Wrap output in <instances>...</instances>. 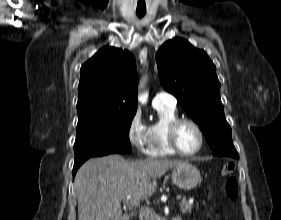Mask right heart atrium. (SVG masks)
<instances>
[{
	"mask_svg": "<svg viewBox=\"0 0 281 220\" xmlns=\"http://www.w3.org/2000/svg\"><path fill=\"white\" fill-rule=\"evenodd\" d=\"M127 136L130 144L139 151H144L147 140V126L142 120L140 111H136L130 119Z\"/></svg>",
	"mask_w": 281,
	"mask_h": 220,
	"instance_id": "1",
	"label": "right heart atrium"
}]
</instances>
